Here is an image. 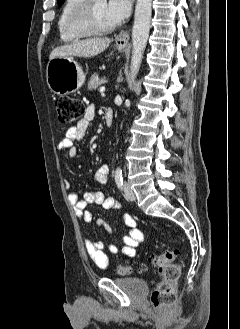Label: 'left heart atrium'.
<instances>
[{
    "label": "left heart atrium",
    "mask_w": 240,
    "mask_h": 329,
    "mask_svg": "<svg viewBox=\"0 0 240 329\" xmlns=\"http://www.w3.org/2000/svg\"><path fill=\"white\" fill-rule=\"evenodd\" d=\"M131 4V0H109L106 13L114 23L120 22L129 16Z\"/></svg>",
    "instance_id": "39dd6f15"
}]
</instances>
